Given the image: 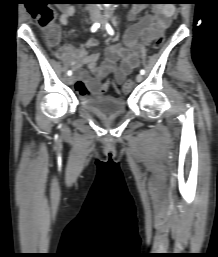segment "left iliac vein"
I'll return each mask as SVG.
<instances>
[{
  "mask_svg": "<svg viewBox=\"0 0 218 257\" xmlns=\"http://www.w3.org/2000/svg\"><path fill=\"white\" fill-rule=\"evenodd\" d=\"M99 22H100L102 28H104V26H105V21L101 18V19L99 20ZM142 79H143L142 74H138V75L136 76V81H137V82H141Z\"/></svg>",
  "mask_w": 218,
  "mask_h": 257,
  "instance_id": "1",
  "label": "left iliac vein"
}]
</instances>
